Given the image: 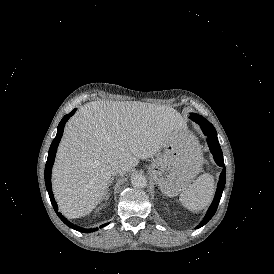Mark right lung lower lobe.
Listing matches in <instances>:
<instances>
[{"label":"right lung lower lobe","mask_w":274,"mask_h":274,"mask_svg":"<svg viewBox=\"0 0 274 274\" xmlns=\"http://www.w3.org/2000/svg\"><path fill=\"white\" fill-rule=\"evenodd\" d=\"M76 109H74L71 113H69L68 115H65L62 120L60 121L59 125H58V129H57V135L55 137V139L52 141L50 149H49V153H48V159L46 162V166H45V184H46V188L47 191L49 193V197L52 203V206L54 207V210L56 211L57 215L59 216V218L69 227H71L72 229H75L77 231L80 232H85V233H89V232H93L98 230V228H93V229H83L80 228L76 225H73L72 223H70L64 216H62L61 213L57 212V204L55 202V199L53 197V193H52V187H51V170H52V166L54 163V159H55V155H56V150L58 147V144L61 140L62 134H63V130H64V126L65 123L68 121L69 117H71L74 113H75ZM108 225V223L101 225L100 227H104Z\"/></svg>","instance_id":"obj_1"}]
</instances>
